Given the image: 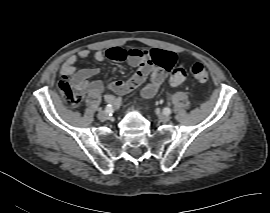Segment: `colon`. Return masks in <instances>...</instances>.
<instances>
[{"instance_id":"colon-1","label":"colon","mask_w":270,"mask_h":213,"mask_svg":"<svg viewBox=\"0 0 270 213\" xmlns=\"http://www.w3.org/2000/svg\"><path fill=\"white\" fill-rule=\"evenodd\" d=\"M146 56L148 60H151L153 64L159 65L170 72L169 81L172 85H179L185 79V70L183 67H175V59L173 55L165 51H154L152 53L147 52L138 48H131L128 50L116 49L113 51L112 57L116 61H124L128 57L135 56ZM142 76H148L150 74V68L148 66H143L139 70ZM191 72L195 80L201 83H205L208 80L209 73L204 65L201 63L193 64ZM59 89L64 95L66 103L72 107L76 108L82 104V98L76 95L65 83L60 82L58 84Z\"/></svg>"}]
</instances>
